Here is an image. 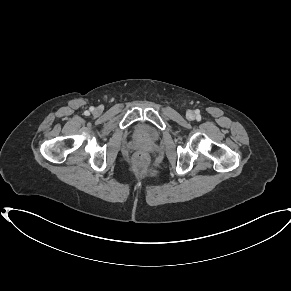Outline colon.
I'll return each mask as SVG.
<instances>
[{"label":"colon","mask_w":291,"mask_h":291,"mask_svg":"<svg viewBox=\"0 0 291 291\" xmlns=\"http://www.w3.org/2000/svg\"><path fill=\"white\" fill-rule=\"evenodd\" d=\"M136 162L139 164L145 163L146 162V155L144 153L137 154Z\"/></svg>","instance_id":"1"}]
</instances>
